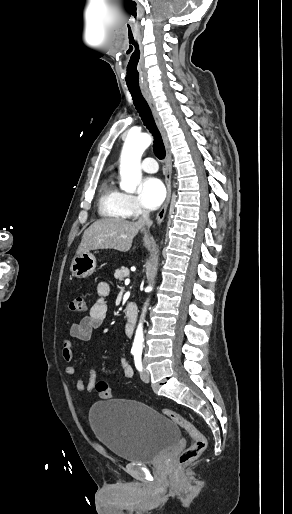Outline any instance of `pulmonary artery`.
<instances>
[{"instance_id": "pulmonary-artery-1", "label": "pulmonary artery", "mask_w": 292, "mask_h": 514, "mask_svg": "<svg viewBox=\"0 0 292 514\" xmlns=\"http://www.w3.org/2000/svg\"><path fill=\"white\" fill-rule=\"evenodd\" d=\"M143 162L142 168L145 172H156L158 170V163L155 157H145Z\"/></svg>"}]
</instances>
